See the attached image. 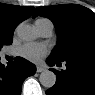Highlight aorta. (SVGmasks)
Instances as JSON below:
<instances>
[{"label": "aorta", "instance_id": "762f6f07", "mask_svg": "<svg viewBox=\"0 0 95 95\" xmlns=\"http://www.w3.org/2000/svg\"><path fill=\"white\" fill-rule=\"evenodd\" d=\"M17 35L24 41H31L37 37L36 31L30 25L19 26ZM39 81L45 88H51L56 83V75L52 71L45 70L40 74Z\"/></svg>", "mask_w": 95, "mask_h": 95}]
</instances>
